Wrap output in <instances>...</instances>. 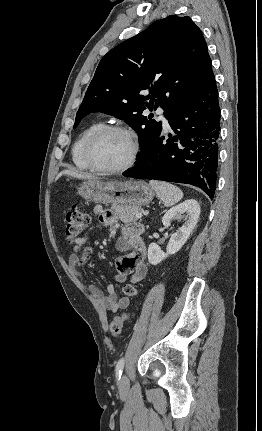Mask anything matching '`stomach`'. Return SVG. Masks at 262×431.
Here are the masks:
<instances>
[{
    "instance_id": "1",
    "label": "stomach",
    "mask_w": 262,
    "mask_h": 431,
    "mask_svg": "<svg viewBox=\"0 0 262 431\" xmlns=\"http://www.w3.org/2000/svg\"><path fill=\"white\" fill-rule=\"evenodd\" d=\"M82 198L95 203L112 205L143 206L154 198V191L145 181L87 180L78 188Z\"/></svg>"
}]
</instances>
